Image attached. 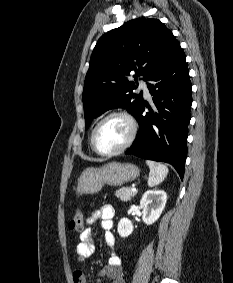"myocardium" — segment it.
I'll use <instances>...</instances> for the list:
<instances>
[{
    "label": "myocardium",
    "instance_id": "f54148a6",
    "mask_svg": "<svg viewBox=\"0 0 233 283\" xmlns=\"http://www.w3.org/2000/svg\"><path fill=\"white\" fill-rule=\"evenodd\" d=\"M112 117H122V118L126 119L127 122L129 123V126H130V133H129V136H128V139L126 140V142L122 146H120L118 149H116L114 151H110V152H103V151L99 150L97 145H96V136H97V133H98L100 127L102 126V124ZM138 129H139L138 122H137L136 118L134 117V115L132 113H130L127 110L112 111V112L108 113L107 115H105L102 119H100L98 121V123L96 124V126L94 127L92 134H91L92 149L97 154H99L101 156H115V155H118L120 153H123L135 141L136 136L138 134Z\"/></svg>",
    "mask_w": 233,
    "mask_h": 283
}]
</instances>
